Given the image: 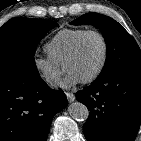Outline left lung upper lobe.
I'll return each mask as SVG.
<instances>
[{
	"mask_svg": "<svg viewBox=\"0 0 141 141\" xmlns=\"http://www.w3.org/2000/svg\"><path fill=\"white\" fill-rule=\"evenodd\" d=\"M71 24H91L102 32L107 44V58L99 78L126 69L141 70V50L138 44L114 19L98 13H87Z\"/></svg>",
	"mask_w": 141,
	"mask_h": 141,
	"instance_id": "left-lung-upper-lobe-1",
	"label": "left lung upper lobe"
}]
</instances>
